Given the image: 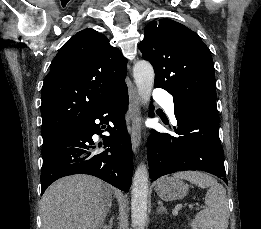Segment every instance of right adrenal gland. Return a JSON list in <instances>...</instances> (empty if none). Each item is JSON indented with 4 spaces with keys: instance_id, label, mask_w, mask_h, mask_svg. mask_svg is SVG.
Wrapping results in <instances>:
<instances>
[{
    "instance_id": "right-adrenal-gland-1",
    "label": "right adrenal gland",
    "mask_w": 261,
    "mask_h": 229,
    "mask_svg": "<svg viewBox=\"0 0 261 229\" xmlns=\"http://www.w3.org/2000/svg\"><path fill=\"white\" fill-rule=\"evenodd\" d=\"M113 219H114V217H111V219L109 221V225H104V227H102V229H113Z\"/></svg>"
}]
</instances>
